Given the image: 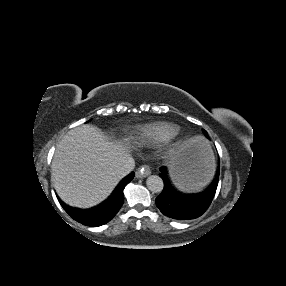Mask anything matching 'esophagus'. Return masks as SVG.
Here are the masks:
<instances>
[{"instance_id": "esophagus-1", "label": "esophagus", "mask_w": 286, "mask_h": 286, "mask_svg": "<svg viewBox=\"0 0 286 286\" xmlns=\"http://www.w3.org/2000/svg\"><path fill=\"white\" fill-rule=\"evenodd\" d=\"M150 174H151V170H150V167L148 165H144L136 171V177L137 178H144Z\"/></svg>"}]
</instances>
